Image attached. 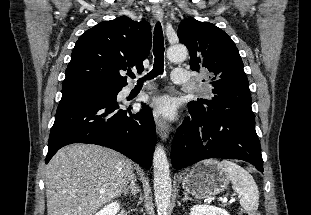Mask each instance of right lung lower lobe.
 <instances>
[{
	"label": "right lung lower lobe",
	"instance_id": "right-lung-lower-lobe-1",
	"mask_svg": "<svg viewBox=\"0 0 311 215\" xmlns=\"http://www.w3.org/2000/svg\"><path fill=\"white\" fill-rule=\"evenodd\" d=\"M133 114L119 104L89 99H68L59 103L50 131L45 162L63 146L90 143L114 149L141 167L149 169L156 143L152 111L144 106Z\"/></svg>",
	"mask_w": 311,
	"mask_h": 215
}]
</instances>
